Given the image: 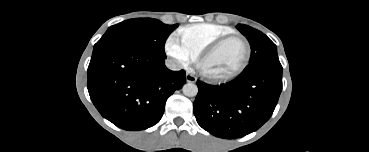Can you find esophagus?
Returning a JSON list of instances; mask_svg holds the SVG:
<instances>
[{
	"label": "esophagus",
	"mask_w": 369,
	"mask_h": 152,
	"mask_svg": "<svg viewBox=\"0 0 369 152\" xmlns=\"http://www.w3.org/2000/svg\"><path fill=\"white\" fill-rule=\"evenodd\" d=\"M186 80H187V82L194 83V82H196L197 78H196V76H194V75H192L190 73H187L186 74Z\"/></svg>",
	"instance_id": "34e87169"
}]
</instances>
